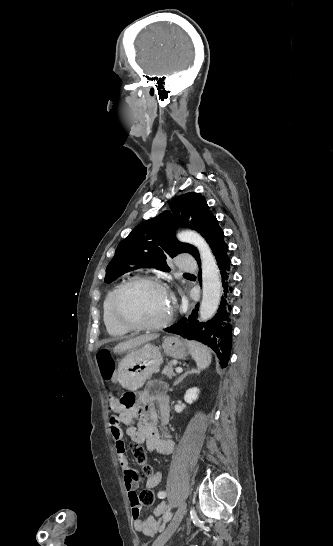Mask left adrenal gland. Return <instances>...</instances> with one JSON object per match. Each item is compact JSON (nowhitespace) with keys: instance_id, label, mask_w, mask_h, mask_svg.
Segmentation results:
<instances>
[{"instance_id":"1","label":"left adrenal gland","mask_w":333,"mask_h":546,"mask_svg":"<svg viewBox=\"0 0 333 546\" xmlns=\"http://www.w3.org/2000/svg\"><path fill=\"white\" fill-rule=\"evenodd\" d=\"M192 373H199V371L191 370V371L185 372L184 374H182V375L178 378V380L175 381L174 386L178 385L180 382H182V380H183L188 374H192Z\"/></svg>"}]
</instances>
